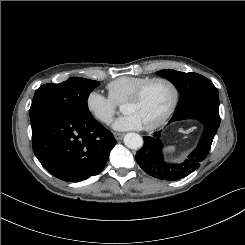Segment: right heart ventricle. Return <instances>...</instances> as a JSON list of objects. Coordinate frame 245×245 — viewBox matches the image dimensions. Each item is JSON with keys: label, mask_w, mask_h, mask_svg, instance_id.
<instances>
[{"label": "right heart ventricle", "mask_w": 245, "mask_h": 245, "mask_svg": "<svg viewBox=\"0 0 245 245\" xmlns=\"http://www.w3.org/2000/svg\"><path fill=\"white\" fill-rule=\"evenodd\" d=\"M148 78L139 76H121L107 84L109 97L116 103L124 102L127 97Z\"/></svg>", "instance_id": "e07e8e85"}]
</instances>
